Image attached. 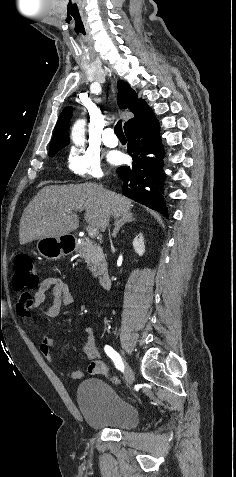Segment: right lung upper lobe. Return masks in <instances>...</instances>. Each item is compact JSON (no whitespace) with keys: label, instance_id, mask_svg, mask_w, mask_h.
I'll use <instances>...</instances> for the list:
<instances>
[{"label":"right lung upper lobe","instance_id":"cb5924a9","mask_svg":"<svg viewBox=\"0 0 236 477\" xmlns=\"http://www.w3.org/2000/svg\"><path fill=\"white\" fill-rule=\"evenodd\" d=\"M117 102L120 108H128L134 113V118L124 124V130L127 132L132 127L150 123L155 120V116L145 101L138 100L137 94L124 81H118ZM71 107L62 111L56 123L53 138L50 143V149L65 147L69 144L68 124L71 118Z\"/></svg>","mask_w":236,"mask_h":477}]
</instances>
